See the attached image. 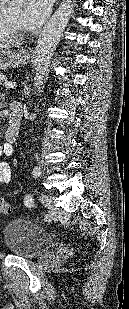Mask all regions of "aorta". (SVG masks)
Instances as JSON below:
<instances>
[{
  "mask_svg": "<svg viewBox=\"0 0 129 309\" xmlns=\"http://www.w3.org/2000/svg\"><path fill=\"white\" fill-rule=\"evenodd\" d=\"M69 12V3L60 7L53 18L44 26L38 38L33 63L34 77L32 95L40 93L43 87L51 59L67 25Z\"/></svg>",
  "mask_w": 129,
  "mask_h": 309,
  "instance_id": "1",
  "label": "aorta"
}]
</instances>
